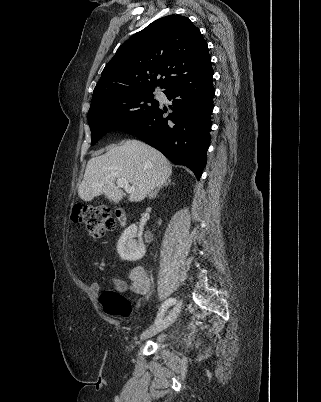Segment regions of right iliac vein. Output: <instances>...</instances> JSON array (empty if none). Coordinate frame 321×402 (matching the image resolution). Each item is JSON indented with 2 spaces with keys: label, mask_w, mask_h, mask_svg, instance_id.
Wrapping results in <instances>:
<instances>
[{
  "label": "right iliac vein",
  "mask_w": 321,
  "mask_h": 402,
  "mask_svg": "<svg viewBox=\"0 0 321 402\" xmlns=\"http://www.w3.org/2000/svg\"><path fill=\"white\" fill-rule=\"evenodd\" d=\"M180 308H181V303H177L167 317L162 319L154 327H151V328L147 329L146 331H144L140 336V340L143 341L148 338H151V337L155 336L156 334H158L159 332L168 328L178 317V315L180 313Z\"/></svg>",
  "instance_id": "63e3f726"
}]
</instances>
